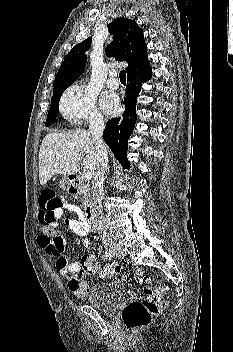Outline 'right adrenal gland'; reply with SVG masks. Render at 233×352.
I'll return each mask as SVG.
<instances>
[{
  "label": "right adrenal gland",
  "instance_id": "2a0ac1e0",
  "mask_svg": "<svg viewBox=\"0 0 233 352\" xmlns=\"http://www.w3.org/2000/svg\"><path fill=\"white\" fill-rule=\"evenodd\" d=\"M109 174V168L107 169V172H106V178H107V175Z\"/></svg>",
  "mask_w": 233,
  "mask_h": 352
}]
</instances>
